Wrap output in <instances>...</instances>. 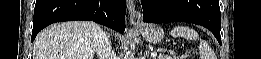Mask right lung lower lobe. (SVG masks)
Wrapping results in <instances>:
<instances>
[{
    "instance_id": "1",
    "label": "right lung lower lobe",
    "mask_w": 261,
    "mask_h": 59,
    "mask_svg": "<svg viewBox=\"0 0 261 59\" xmlns=\"http://www.w3.org/2000/svg\"><path fill=\"white\" fill-rule=\"evenodd\" d=\"M125 13L126 0H37L32 42L46 26L70 20H93L123 33Z\"/></svg>"
}]
</instances>
